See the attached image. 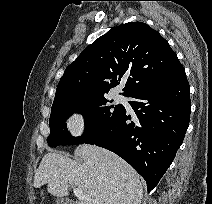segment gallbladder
<instances>
[{
  "label": "gallbladder",
  "instance_id": "obj_1",
  "mask_svg": "<svg viewBox=\"0 0 212 204\" xmlns=\"http://www.w3.org/2000/svg\"><path fill=\"white\" fill-rule=\"evenodd\" d=\"M57 204H73V203L68 198H59L57 199Z\"/></svg>",
  "mask_w": 212,
  "mask_h": 204
}]
</instances>
